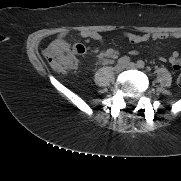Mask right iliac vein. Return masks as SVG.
<instances>
[{
	"label": "right iliac vein",
	"mask_w": 181,
	"mask_h": 181,
	"mask_svg": "<svg viewBox=\"0 0 181 181\" xmlns=\"http://www.w3.org/2000/svg\"><path fill=\"white\" fill-rule=\"evenodd\" d=\"M124 68H125V65H123V64H117L114 69H115V72H116V73H120L121 71L124 70Z\"/></svg>",
	"instance_id": "1"
}]
</instances>
